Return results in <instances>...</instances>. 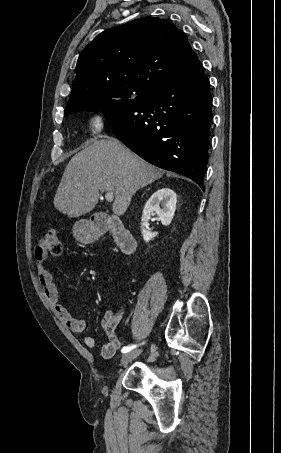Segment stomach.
Wrapping results in <instances>:
<instances>
[{
	"instance_id": "1",
	"label": "stomach",
	"mask_w": 281,
	"mask_h": 453,
	"mask_svg": "<svg viewBox=\"0 0 281 453\" xmlns=\"http://www.w3.org/2000/svg\"><path fill=\"white\" fill-rule=\"evenodd\" d=\"M73 237L79 243H92L95 237V231L90 227L89 222H75L73 227Z\"/></svg>"
}]
</instances>
